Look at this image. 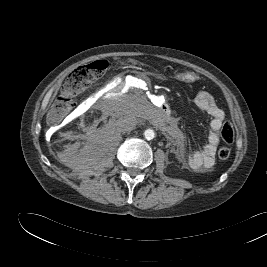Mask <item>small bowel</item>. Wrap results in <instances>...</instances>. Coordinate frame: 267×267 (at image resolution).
Instances as JSON below:
<instances>
[{"label": "small bowel", "instance_id": "small-bowel-1", "mask_svg": "<svg viewBox=\"0 0 267 267\" xmlns=\"http://www.w3.org/2000/svg\"><path fill=\"white\" fill-rule=\"evenodd\" d=\"M194 103L199 109L207 112L212 117L209 124L208 142L199 150L190 154H181V158L193 170H208L215 164L219 131L225 119V112L217 104L214 96L206 90L197 92L194 97Z\"/></svg>", "mask_w": 267, "mask_h": 267}]
</instances>
